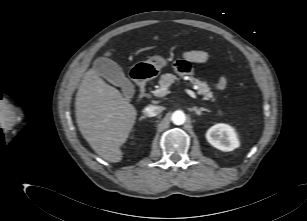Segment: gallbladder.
<instances>
[{
  "mask_svg": "<svg viewBox=\"0 0 307 221\" xmlns=\"http://www.w3.org/2000/svg\"><path fill=\"white\" fill-rule=\"evenodd\" d=\"M93 69L99 76L120 87L124 96L128 99L132 98L135 91L134 85L116 62L109 58L100 57L94 61Z\"/></svg>",
  "mask_w": 307,
  "mask_h": 221,
  "instance_id": "obj_1",
  "label": "gallbladder"
}]
</instances>
